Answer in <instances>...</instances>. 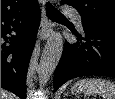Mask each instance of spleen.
<instances>
[{
	"instance_id": "3e777b00",
	"label": "spleen",
	"mask_w": 115,
	"mask_h": 99,
	"mask_svg": "<svg viewBox=\"0 0 115 99\" xmlns=\"http://www.w3.org/2000/svg\"><path fill=\"white\" fill-rule=\"evenodd\" d=\"M73 88L78 91H84L85 96L98 94L103 99H115V84L109 80L101 78L82 79Z\"/></svg>"
}]
</instances>
